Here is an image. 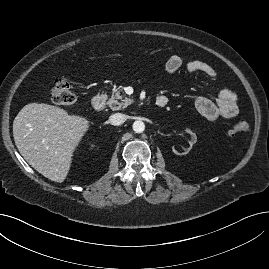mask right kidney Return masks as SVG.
I'll return each mask as SVG.
<instances>
[{
    "mask_svg": "<svg viewBox=\"0 0 269 269\" xmlns=\"http://www.w3.org/2000/svg\"><path fill=\"white\" fill-rule=\"evenodd\" d=\"M93 142L96 140L94 137L91 139ZM92 147H94V145H91Z\"/></svg>",
    "mask_w": 269,
    "mask_h": 269,
    "instance_id": "obj_1",
    "label": "right kidney"
}]
</instances>
